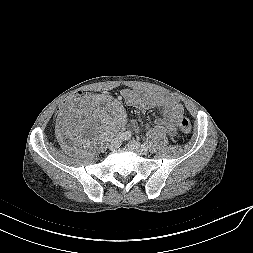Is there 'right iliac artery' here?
<instances>
[{
    "instance_id": "right-iliac-artery-1",
    "label": "right iliac artery",
    "mask_w": 253,
    "mask_h": 253,
    "mask_svg": "<svg viewBox=\"0 0 253 253\" xmlns=\"http://www.w3.org/2000/svg\"><path fill=\"white\" fill-rule=\"evenodd\" d=\"M120 137L122 139L128 140V139L131 138V132L130 131H126V132L122 133Z\"/></svg>"
}]
</instances>
